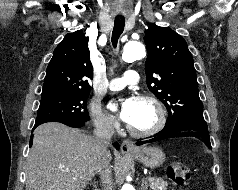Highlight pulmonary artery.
<instances>
[{
	"label": "pulmonary artery",
	"instance_id": "pulmonary-artery-1",
	"mask_svg": "<svg viewBox=\"0 0 238 190\" xmlns=\"http://www.w3.org/2000/svg\"><path fill=\"white\" fill-rule=\"evenodd\" d=\"M139 82V74L135 70H128L123 77L115 78L110 81L109 88L112 91L123 89L127 85H136Z\"/></svg>",
	"mask_w": 238,
	"mask_h": 190
}]
</instances>
